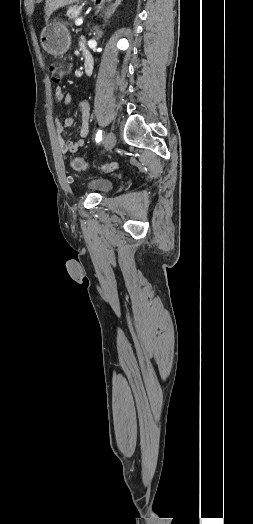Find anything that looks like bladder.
Wrapping results in <instances>:
<instances>
[{"label": "bladder", "instance_id": "bladder-1", "mask_svg": "<svg viewBox=\"0 0 253 524\" xmlns=\"http://www.w3.org/2000/svg\"><path fill=\"white\" fill-rule=\"evenodd\" d=\"M87 187L101 195H105L112 190L113 183L107 178H94L87 183Z\"/></svg>", "mask_w": 253, "mask_h": 524}]
</instances>
